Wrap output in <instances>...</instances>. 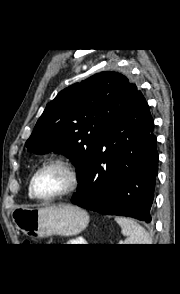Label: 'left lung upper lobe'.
I'll return each mask as SVG.
<instances>
[{
  "label": "left lung upper lobe",
  "instance_id": "1",
  "mask_svg": "<svg viewBox=\"0 0 180 294\" xmlns=\"http://www.w3.org/2000/svg\"><path fill=\"white\" fill-rule=\"evenodd\" d=\"M138 92L128 77L114 71L75 83L47 104L25 146L36 154L63 152L76 166L79 188L103 139Z\"/></svg>",
  "mask_w": 180,
  "mask_h": 294
}]
</instances>
